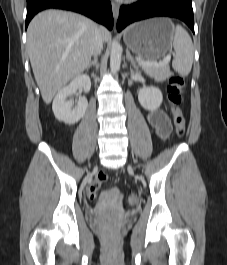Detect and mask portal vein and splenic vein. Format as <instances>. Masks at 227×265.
<instances>
[{"instance_id": "1", "label": "portal vein and splenic vein", "mask_w": 227, "mask_h": 265, "mask_svg": "<svg viewBox=\"0 0 227 265\" xmlns=\"http://www.w3.org/2000/svg\"><path fill=\"white\" fill-rule=\"evenodd\" d=\"M171 55H166L162 61H141L139 62V65L142 67H162L164 65H167L170 62Z\"/></svg>"}]
</instances>
